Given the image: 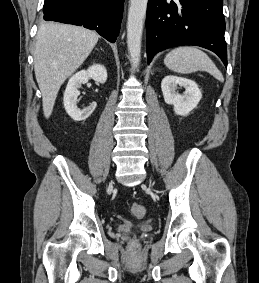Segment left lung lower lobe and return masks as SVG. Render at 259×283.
Masks as SVG:
<instances>
[{
  "label": "left lung lower lobe",
  "mask_w": 259,
  "mask_h": 283,
  "mask_svg": "<svg viewBox=\"0 0 259 283\" xmlns=\"http://www.w3.org/2000/svg\"><path fill=\"white\" fill-rule=\"evenodd\" d=\"M223 0H148L147 59L167 48L195 45L216 53L227 68Z\"/></svg>",
  "instance_id": "obj_1"
}]
</instances>
